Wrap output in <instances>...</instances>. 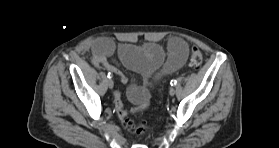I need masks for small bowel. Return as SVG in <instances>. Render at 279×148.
<instances>
[{"mask_svg": "<svg viewBox=\"0 0 279 148\" xmlns=\"http://www.w3.org/2000/svg\"><path fill=\"white\" fill-rule=\"evenodd\" d=\"M168 55L157 44H147L143 47L121 45L118 48L110 38H99L92 45V62L98 68H105L115 74L122 83L128 78L109 58L117 52L121 62L129 69L139 73L144 80L143 85L131 84L127 89L128 99L137 105L133 112L146 107L149 98L151 81L179 70L187 60L188 45L179 38L172 37L168 41ZM116 112L120 119H124L128 112L123 108L120 96L115 95Z\"/></svg>", "mask_w": 279, "mask_h": 148, "instance_id": "c3829d8e", "label": "small bowel"}]
</instances>
